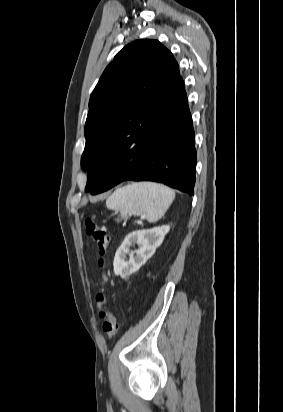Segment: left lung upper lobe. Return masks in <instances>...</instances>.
I'll list each match as a JSON object with an SVG mask.
<instances>
[{
  "mask_svg": "<svg viewBox=\"0 0 283 412\" xmlns=\"http://www.w3.org/2000/svg\"><path fill=\"white\" fill-rule=\"evenodd\" d=\"M184 87L172 53L155 40H137L114 58L91 94L81 166L85 188L97 193L95 177L114 153L140 154L157 122Z\"/></svg>",
  "mask_w": 283,
  "mask_h": 412,
  "instance_id": "obj_1",
  "label": "left lung upper lobe"
}]
</instances>
